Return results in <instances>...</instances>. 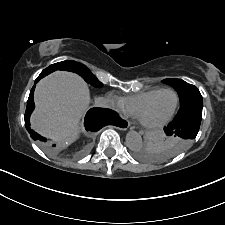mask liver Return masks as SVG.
<instances>
[{
  "instance_id": "obj_1",
  "label": "liver",
  "mask_w": 225,
  "mask_h": 225,
  "mask_svg": "<svg viewBox=\"0 0 225 225\" xmlns=\"http://www.w3.org/2000/svg\"><path fill=\"white\" fill-rule=\"evenodd\" d=\"M34 100L35 131L64 145L77 138L79 120L90 102L88 86L80 76L65 71L50 74L37 84Z\"/></svg>"
}]
</instances>
